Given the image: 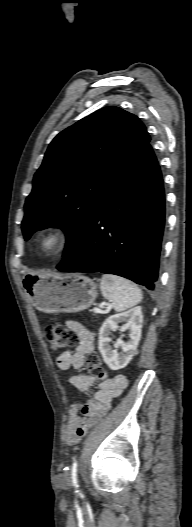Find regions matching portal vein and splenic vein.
<instances>
[{"mask_svg":"<svg viewBox=\"0 0 192 527\" xmlns=\"http://www.w3.org/2000/svg\"><path fill=\"white\" fill-rule=\"evenodd\" d=\"M95 313H103V311L100 308H94Z\"/></svg>","mask_w":192,"mask_h":527,"instance_id":"18ae733b","label":"portal vein and splenic vein"}]
</instances>
